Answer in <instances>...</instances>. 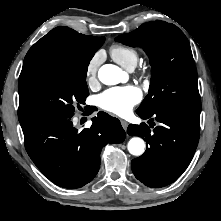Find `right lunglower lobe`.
Returning <instances> with one entry per match:
<instances>
[{"mask_svg":"<svg viewBox=\"0 0 221 221\" xmlns=\"http://www.w3.org/2000/svg\"><path fill=\"white\" fill-rule=\"evenodd\" d=\"M72 116L55 114L21 122L25 148L34 164L54 184L69 189L92 181L100 168L102 148L122 143L126 136L120 121L105 112L81 131L73 126Z\"/></svg>","mask_w":221,"mask_h":221,"instance_id":"right-lung-lower-lobe-1","label":"right lung lower lobe"}]
</instances>
